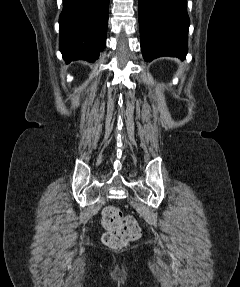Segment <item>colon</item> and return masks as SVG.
Listing matches in <instances>:
<instances>
[{
  "mask_svg": "<svg viewBox=\"0 0 240 287\" xmlns=\"http://www.w3.org/2000/svg\"><path fill=\"white\" fill-rule=\"evenodd\" d=\"M102 224L106 232L102 236L104 245L111 249H121L137 240L141 235L140 227L132 216H124L115 206H107L102 212Z\"/></svg>",
  "mask_w": 240,
  "mask_h": 287,
  "instance_id": "1",
  "label": "colon"
}]
</instances>
